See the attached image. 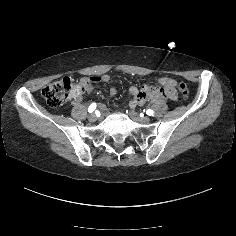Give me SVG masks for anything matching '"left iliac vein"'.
Instances as JSON below:
<instances>
[{"label": "left iliac vein", "mask_w": 236, "mask_h": 236, "mask_svg": "<svg viewBox=\"0 0 236 236\" xmlns=\"http://www.w3.org/2000/svg\"><path fill=\"white\" fill-rule=\"evenodd\" d=\"M130 116L132 117V119L136 122H139V123H149L150 122V118L148 116H144V117H141L139 116V114L137 112H135L134 110H132L130 112Z\"/></svg>", "instance_id": "1"}]
</instances>
